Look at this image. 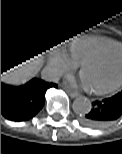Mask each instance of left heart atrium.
Listing matches in <instances>:
<instances>
[{"label":"left heart atrium","mask_w":122,"mask_h":154,"mask_svg":"<svg viewBox=\"0 0 122 154\" xmlns=\"http://www.w3.org/2000/svg\"><path fill=\"white\" fill-rule=\"evenodd\" d=\"M68 81H69V83L74 84V80H73V79L69 78ZM81 84H82L84 87H88V86L86 85V83L84 82L83 79L81 80Z\"/></svg>","instance_id":"obj_1"}]
</instances>
